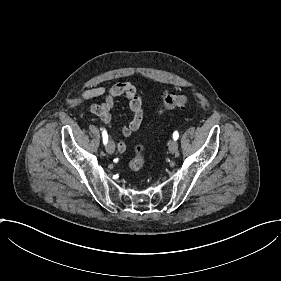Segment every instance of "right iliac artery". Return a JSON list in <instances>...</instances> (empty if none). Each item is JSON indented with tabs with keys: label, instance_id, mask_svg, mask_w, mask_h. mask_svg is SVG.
Listing matches in <instances>:
<instances>
[{
	"label": "right iliac artery",
	"instance_id": "1",
	"mask_svg": "<svg viewBox=\"0 0 281 281\" xmlns=\"http://www.w3.org/2000/svg\"><path fill=\"white\" fill-rule=\"evenodd\" d=\"M102 136H103V143H104V145H106L108 142V135L105 130L102 132Z\"/></svg>",
	"mask_w": 281,
	"mask_h": 281
}]
</instances>
